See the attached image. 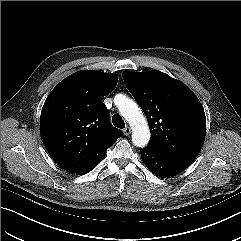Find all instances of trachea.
I'll return each mask as SVG.
<instances>
[{
    "mask_svg": "<svg viewBox=\"0 0 241 241\" xmlns=\"http://www.w3.org/2000/svg\"><path fill=\"white\" fill-rule=\"evenodd\" d=\"M112 122L114 124L115 127L117 128H125V123L124 120L122 119V117L119 114H115L112 117Z\"/></svg>",
    "mask_w": 241,
    "mask_h": 241,
    "instance_id": "obj_1",
    "label": "trachea"
}]
</instances>
